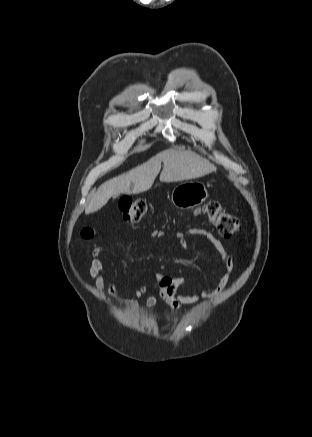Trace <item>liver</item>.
<instances>
[{
    "label": "liver",
    "mask_w": 312,
    "mask_h": 437,
    "mask_svg": "<svg viewBox=\"0 0 312 437\" xmlns=\"http://www.w3.org/2000/svg\"><path fill=\"white\" fill-rule=\"evenodd\" d=\"M161 162L164 164L160 174L161 182L195 179L215 172L217 169L215 165L195 152L165 150L129 172L104 182L86 207L85 214L100 210L110 198L122 193L139 194L149 190L160 172Z\"/></svg>",
    "instance_id": "liver-1"
}]
</instances>
